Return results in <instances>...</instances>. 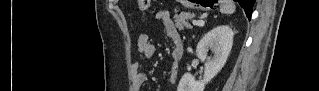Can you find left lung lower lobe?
Returning <instances> with one entry per match:
<instances>
[{
	"label": "left lung lower lobe",
	"mask_w": 319,
	"mask_h": 91,
	"mask_svg": "<svg viewBox=\"0 0 319 91\" xmlns=\"http://www.w3.org/2000/svg\"><path fill=\"white\" fill-rule=\"evenodd\" d=\"M237 2L242 6V8L244 9L246 13V16L250 20L252 15V8L255 3V0H237Z\"/></svg>",
	"instance_id": "0a47b994"
}]
</instances>
